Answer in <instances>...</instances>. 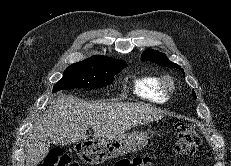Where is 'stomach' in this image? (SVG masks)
<instances>
[{"instance_id":"stomach-1","label":"stomach","mask_w":231,"mask_h":166,"mask_svg":"<svg viewBox=\"0 0 231 166\" xmlns=\"http://www.w3.org/2000/svg\"><path fill=\"white\" fill-rule=\"evenodd\" d=\"M147 132H130L116 139H86L74 145L78 157L90 164H99L127 153H136L148 143Z\"/></svg>"}]
</instances>
